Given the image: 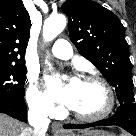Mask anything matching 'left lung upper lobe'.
<instances>
[{"label": "left lung upper lobe", "instance_id": "obj_1", "mask_svg": "<svg viewBox=\"0 0 136 136\" xmlns=\"http://www.w3.org/2000/svg\"><path fill=\"white\" fill-rule=\"evenodd\" d=\"M71 41L116 90L120 105L135 103L132 64L124 27L118 17L91 0H66Z\"/></svg>", "mask_w": 136, "mask_h": 136}]
</instances>
